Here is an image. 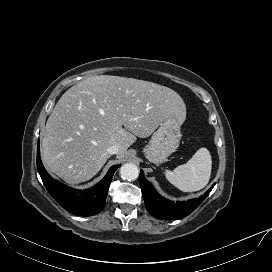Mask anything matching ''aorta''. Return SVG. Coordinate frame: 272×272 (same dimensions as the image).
Wrapping results in <instances>:
<instances>
[{
	"mask_svg": "<svg viewBox=\"0 0 272 272\" xmlns=\"http://www.w3.org/2000/svg\"><path fill=\"white\" fill-rule=\"evenodd\" d=\"M120 175L124 180H135L139 176L138 167L133 163H126L121 166Z\"/></svg>",
	"mask_w": 272,
	"mask_h": 272,
	"instance_id": "obj_1",
	"label": "aorta"
}]
</instances>
